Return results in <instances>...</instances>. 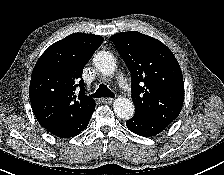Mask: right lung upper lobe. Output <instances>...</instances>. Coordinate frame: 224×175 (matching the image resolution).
<instances>
[{
    "mask_svg": "<svg viewBox=\"0 0 224 175\" xmlns=\"http://www.w3.org/2000/svg\"><path fill=\"white\" fill-rule=\"evenodd\" d=\"M104 38L74 33L52 44L38 59L30 81L34 115L47 130L83 116L95 107L85 95L83 68Z\"/></svg>",
    "mask_w": 224,
    "mask_h": 175,
    "instance_id": "obj_1",
    "label": "right lung upper lobe"
}]
</instances>
